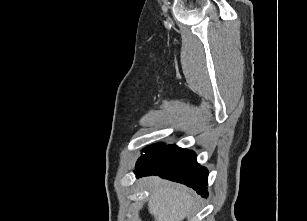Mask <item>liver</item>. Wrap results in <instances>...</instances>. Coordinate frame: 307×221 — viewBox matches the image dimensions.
<instances>
[{"label": "liver", "mask_w": 307, "mask_h": 221, "mask_svg": "<svg viewBox=\"0 0 307 221\" xmlns=\"http://www.w3.org/2000/svg\"><path fill=\"white\" fill-rule=\"evenodd\" d=\"M143 183L151 192L148 210L154 221H183L195 207V197L181 185L153 177Z\"/></svg>", "instance_id": "1"}]
</instances>
